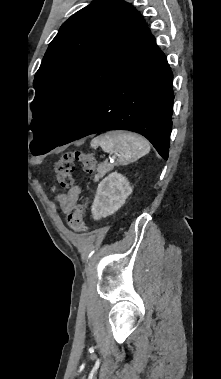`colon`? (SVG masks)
Returning <instances> with one entry per match:
<instances>
[{
    "instance_id": "1",
    "label": "colon",
    "mask_w": 221,
    "mask_h": 379,
    "mask_svg": "<svg viewBox=\"0 0 221 379\" xmlns=\"http://www.w3.org/2000/svg\"><path fill=\"white\" fill-rule=\"evenodd\" d=\"M76 161L81 163L86 174L92 175L95 173L96 161L91 155L81 151L66 152L55 165L56 181L60 187L68 188L73 185V171ZM85 210L86 203L79 204L67 215V223L75 232L81 233L86 230Z\"/></svg>"
}]
</instances>
